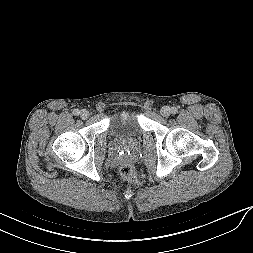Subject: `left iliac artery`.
Masks as SVG:
<instances>
[{
  "label": "left iliac artery",
  "instance_id": "obj_1",
  "mask_svg": "<svg viewBox=\"0 0 253 253\" xmlns=\"http://www.w3.org/2000/svg\"><path fill=\"white\" fill-rule=\"evenodd\" d=\"M171 112H172V114H176L177 113V108L172 107Z\"/></svg>",
  "mask_w": 253,
  "mask_h": 253
}]
</instances>
